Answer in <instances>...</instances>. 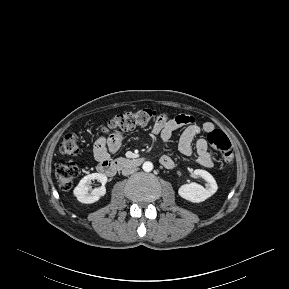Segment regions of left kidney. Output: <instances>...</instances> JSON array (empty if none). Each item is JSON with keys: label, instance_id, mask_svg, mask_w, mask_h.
I'll list each match as a JSON object with an SVG mask.
<instances>
[{"label": "left kidney", "instance_id": "left-kidney-1", "mask_svg": "<svg viewBox=\"0 0 289 289\" xmlns=\"http://www.w3.org/2000/svg\"><path fill=\"white\" fill-rule=\"evenodd\" d=\"M194 174L204 179L206 182L205 187L195 182L184 184L179 188L178 194L190 202L199 203L211 197L217 191L218 186L209 172L202 169H195Z\"/></svg>", "mask_w": 289, "mask_h": 289}]
</instances>
